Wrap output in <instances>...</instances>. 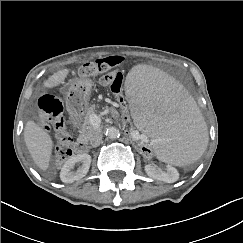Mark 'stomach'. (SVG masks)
<instances>
[{
	"instance_id": "0dacf381",
	"label": "stomach",
	"mask_w": 243,
	"mask_h": 243,
	"mask_svg": "<svg viewBox=\"0 0 243 243\" xmlns=\"http://www.w3.org/2000/svg\"><path fill=\"white\" fill-rule=\"evenodd\" d=\"M92 86V80L78 79L65 92L66 108L71 117H80L85 114Z\"/></svg>"
}]
</instances>
